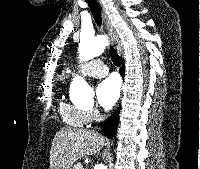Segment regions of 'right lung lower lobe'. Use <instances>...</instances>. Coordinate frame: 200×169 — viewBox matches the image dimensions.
<instances>
[{
  "mask_svg": "<svg viewBox=\"0 0 200 169\" xmlns=\"http://www.w3.org/2000/svg\"><path fill=\"white\" fill-rule=\"evenodd\" d=\"M124 71L125 69L122 66L120 68V74L122 77L124 76ZM119 112H120V109L118 108L116 112L111 117H109L103 125V131L105 135L109 138H113V136H115L116 129L118 126V120H119Z\"/></svg>",
  "mask_w": 200,
  "mask_h": 169,
  "instance_id": "1",
  "label": "right lung lower lobe"
}]
</instances>
